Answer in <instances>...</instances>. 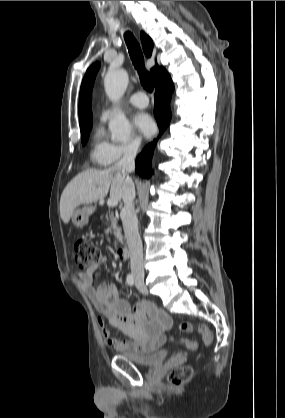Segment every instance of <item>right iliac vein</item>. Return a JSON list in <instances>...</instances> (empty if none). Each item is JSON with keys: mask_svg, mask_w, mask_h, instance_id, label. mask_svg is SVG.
I'll list each match as a JSON object with an SVG mask.
<instances>
[{"mask_svg": "<svg viewBox=\"0 0 285 418\" xmlns=\"http://www.w3.org/2000/svg\"><path fill=\"white\" fill-rule=\"evenodd\" d=\"M136 279H137V280H141V277H140V276H136Z\"/></svg>", "mask_w": 285, "mask_h": 418, "instance_id": "1", "label": "right iliac vein"}]
</instances>
